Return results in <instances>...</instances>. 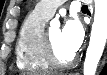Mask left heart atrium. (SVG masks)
I'll list each match as a JSON object with an SVG mask.
<instances>
[{"label": "left heart atrium", "mask_w": 107, "mask_h": 75, "mask_svg": "<svg viewBox=\"0 0 107 75\" xmlns=\"http://www.w3.org/2000/svg\"><path fill=\"white\" fill-rule=\"evenodd\" d=\"M61 37L64 47L71 53H75L81 46L84 38V30L80 21L76 17L66 20Z\"/></svg>", "instance_id": "39dd6f15"}]
</instances>
